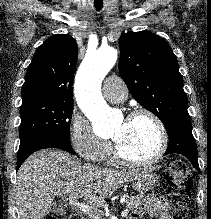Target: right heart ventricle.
<instances>
[{
  "label": "right heart ventricle",
  "mask_w": 211,
  "mask_h": 219,
  "mask_svg": "<svg viewBox=\"0 0 211 219\" xmlns=\"http://www.w3.org/2000/svg\"><path fill=\"white\" fill-rule=\"evenodd\" d=\"M103 161H105L108 164H112L114 162V157L111 154V151H109L102 159Z\"/></svg>",
  "instance_id": "e07e8e85"
}]
</instances>
